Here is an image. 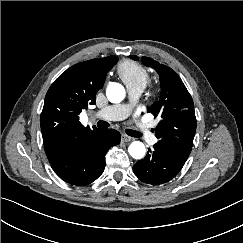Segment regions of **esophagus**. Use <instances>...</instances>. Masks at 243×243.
<instances>
[{"label":"esophagus","mask_w":243,"mask_h":243,"mask_svg":"<svg viewBox=\"0 0 243 243\" xmlns=\"http://www.w3.org/2000/svg\"><path fill=\"white\" fill-rule=\"evenodd\" d=\"M121 139L123 142H130L132 140V137H130L126 134H122Z\"/></svg>","instance_id":"1"}]
</instances>
